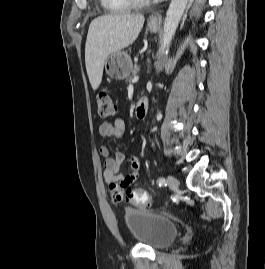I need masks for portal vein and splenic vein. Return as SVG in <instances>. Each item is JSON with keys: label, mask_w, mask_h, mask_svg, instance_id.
Returning <instances> with one entry per match:
<instances>
[{"label": "portal vein and splenic vein", "mask_w": 265, "mask_h": 269, "mask_svg": "<svg viewBox=\"0 0 265 269\" xmlns=\"http://www.w3.org/2000/svg\"><path fill=\"white\" fill-rule=\"evenodd\" d=\"M138 77H134L133 79H132V83H136L137 81H138Z\"/></svg>", "instance_id": "18ae733b"}]
</instances>
